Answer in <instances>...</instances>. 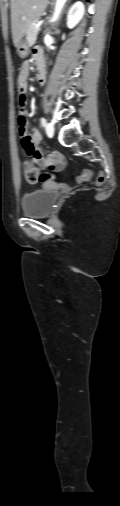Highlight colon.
<instances>
[{
  "label": "colon",
  "instance_id": "1",
  "mask_svg": "<svg viewBox=\"0 0 120 506\" xmlns=\"http://www.w3.org/2000/svg\"><path fill=\"white\" fill-rule=\"evenodd\" d=\"M17 90L19 93L18 96V125L19 132L22 133V151L28 157L32 158L30 161H26L24 163V175L25 179L30 184H35L38 182H47L54 178L53 175L48 173H41L38 167L36 166L37 159L40 157V152L34 145L32 138L26 133L27 132V122L25 117V105H26V96H25V88L21 81L17 83ZM92 177V171L90 169H84L77 177L79 182L88 181ZM105 175L101 172L97 178V185H102L105 182Z\"/></svg>",
  "mask_w": 120,
  "mask_h": 506
}]
</instances>
